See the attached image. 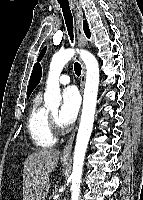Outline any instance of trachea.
<instances>
[{"instance_id":"trachea-1","label":"trachea","mask_w":143,"mask_h":200,"mask_svg":"<svg viewBox=\"0 0 143 200\" xmlns=\"http://www.w3.org/2000/svg\"><path fill=\"white\" fill-rule=\"evenodd\" d=\"M60 7L63 11V16L65 18V23H66V27L68 30V34L70 37V40L73 42V38H74V34H73V16L71 14V10L69 7V3L67 0H58ZM74 71L76 73L77 76H80L81 74V65L76 62L74 64Z\"/></svg>"}]
</instances>
